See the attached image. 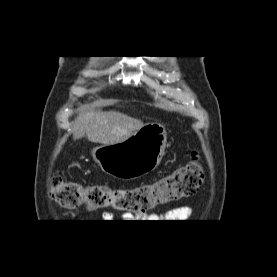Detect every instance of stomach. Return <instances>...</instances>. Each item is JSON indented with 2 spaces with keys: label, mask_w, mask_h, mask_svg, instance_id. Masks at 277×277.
Returning a JSON list of instances; mask_svg holds the SVG:
<instances>
[{
  "label": "stomach",
  "mask_w": 277,
  "mask_h": 277,
  "mask_svg": "<svg viewBox=\"0 0 277 277\" xmlns=\"http://www.w3.org/2000/svg\"><path fill=\"white\" fill-rule=\"evenodd\" d=\"M166 142L165 127L149 123L122 142L94 148L92 156L105 173L135 179L156 169L165 154Z\"/></svg>",
  "instance_id": "0dacf381"
}]
</instances>
